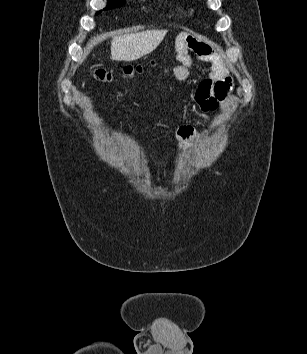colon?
I'll return each instance as SVG.
<instances>
[{"mask_svg": "<svg viewBox=\"0 0 307 354\" xmlns=\"http://www.w3.org/2000/svg\"><path fill=\"white\" fill-rule=\"evenodd\" d=\"M143 70L142 66H127L123 68L122 75L127 79L133 78L135 75L141 73ZM92 77L99 82H110L113 78L112 73L104 68H96L91 71Z\"/></svg>", "mask_w": 307, "mask_h": 354, "instance_id": "obj_1", "label": "colon"}]
</instances>
